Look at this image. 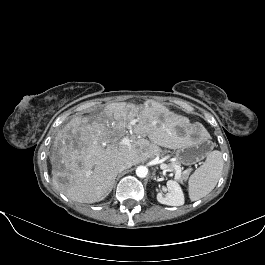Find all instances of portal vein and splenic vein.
I'll return each instance as SVG.
<instances>
[{
	"label": "portal vein and splenic vein",
	"instance_id": "portal-vein-and-splenic-vein-1",
	"mask_svg": "<svg viewBox=\"0 0 265 265\" xmlns=\"http://www.w3.org/2000/svg\"><path fill=\"white\" fill-rule=\"evenodd\" d=\"M127 129L131 131V130H132V125H131V124L128 125V126H127ZM130 142H131V140H130V136H129V134H127L125 137L122 138L120 144H122V145H129ZM169 166H170L169 164H164V163H163V164L160 165V168H161L162 170H167V169L169 168ZM174 167H175V169H176L175 177H176V178H179V177L181 176V169H180L179 166H174Z\"/></svg>",
	"mask_w": 265,
	"mask_h": 265
}]
</instances>
